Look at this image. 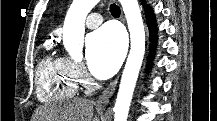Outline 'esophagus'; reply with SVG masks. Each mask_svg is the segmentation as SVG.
Wrapping results in <instances>:
<instances>
[{
	"label": "esophagus",
	"mask_w": 217,
	"mask_h": 121,
	"mask_svg": "<svg viewBox=\"0 0 217 121\" xmlns=\"http://www.w3.org/2000/svg\"><path fill=\"white\" fill-rule=\"evenodd\" d=\"M119 80V76H117L110 85L104 89V91L100 94L98 97V103L101 105H108L110 102L111 97L114 94V91L116 89L117 83Z\"/></svg>",
	"instance_id": "1"
}]
</instances>
